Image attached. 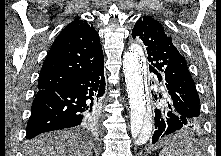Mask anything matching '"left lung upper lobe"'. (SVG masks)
Instances as JSON below:
<instances>
[{
  "label": "left lung upper lobe",
  "mask_w": 221,
  "mask_h": 156,
  "mask_svg": "<svg viewBox=\"0 0 221 156\" xmlns=\"http://www.w3.org/2000/svg\"><path fill=\"white\" fill-rule=\"evenodd\" d=\"M132 37H139L145 44L150 71H157L163 76L166 92L173 104L184 114L201 120L194 81L173 38L152 17L140 18L132 30Z\"/></svg>",
  "instance_id": "1"
}]
</instances>
